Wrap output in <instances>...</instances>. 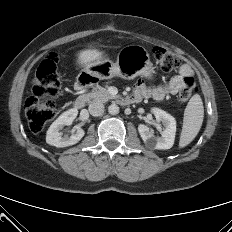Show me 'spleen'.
I'll return each mask as SVG.
<instances>
[{
  "mask_svg": "<svg viewBox=\"0 0 232 232\" xmlns=\"http://www.w3.org/2000/svg\"><path fill=\"white\" fill-rule=\"evenodd\" d=\"M204 117V107L200 95L195 94L189 100L183 118L182 132L179 140V148L190 144L197 136Z\"/></svg>",
  "mask_w": 232,
  "mask_h": 232,
  "instance_id": "1",
  "label": "spleen"
}]
</instances>
